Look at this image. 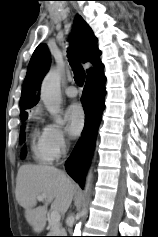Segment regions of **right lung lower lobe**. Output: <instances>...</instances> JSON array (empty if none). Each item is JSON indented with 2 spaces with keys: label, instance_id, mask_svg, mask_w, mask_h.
Returning <instances> with one entry per match:
<instances>
[{
  "label": "right lung lower lobe",
  "instance_id": "98d812e1",
  "mask_svg": "<svg viewBox=\"0 0 158 237\" xmlns=\"http://www.w3.org/2000/svg\"><path fill=\"white\" fill-rule=\"evenodd\" d=\"M105 80L103 70L97 71L86 79L81 97L86 114L85 126L81 138L65 164L68 174L82 188L94 151L97 130L104 109Z\"/></svg>",
  "mask_w": 158,
  "mask_h": 237
}]
</instances>
